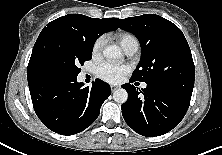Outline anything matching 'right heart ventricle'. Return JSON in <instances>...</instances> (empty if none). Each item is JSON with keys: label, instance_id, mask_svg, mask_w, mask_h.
Listing matches in <instances>:
<instances>
[{"label": "right heart ventricle", "instance_id": "e07e8e85", "mask_svg": "<svg viewBox=\"0 0 222 155\" xmlns=\"http://www.w3.org/2000/svg\"><path fill=\"white\" fill-rule=\"evenodd\" d=\"M116 38L124 50L133 44L138 45L136 37L128 32H120L116 35Z\"/></svg>", "mask_w": 222, "mask_h": 155}]
</instances>
